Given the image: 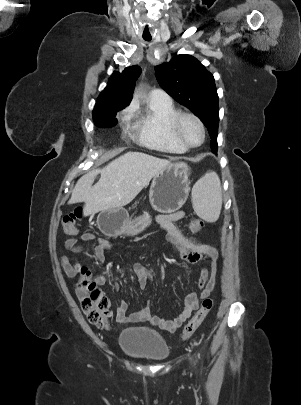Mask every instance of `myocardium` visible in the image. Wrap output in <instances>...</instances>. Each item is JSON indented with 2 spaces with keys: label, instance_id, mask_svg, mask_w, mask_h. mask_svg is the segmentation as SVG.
Instances as JSON below:
<instances>
[{
  "label": "myocardium",
  "instance_id": "1",
  "mask_svg": "<svg viewBox=\"0 0 301 405\" xmlns=\"http://www.w3.org/2000/svg\"><path fill=\"white\" fill-rule=\"evenodd\" d=\"M185 118L193 119L201 129L202 139H201V142L197 145H192V144L188 143L181 134V129H180L181 123ZM170 131L173 134V136L187 149H193V148L200 147L205 142V138H206L205 125L197 115H195L194 113H191V112H178L175 116H173V118L170 121Z\"/></svg>",
  "mask_w": 301,
  "mask_h": 405
}]
</instances>
